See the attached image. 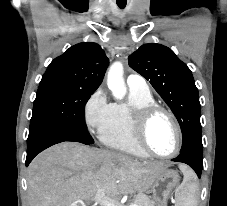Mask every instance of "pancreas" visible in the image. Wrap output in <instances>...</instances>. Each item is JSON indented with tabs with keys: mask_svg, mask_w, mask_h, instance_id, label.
<instances>
[{
	"mask_svg": "<svg viewBox=\"0 0 227 206\" xmlns=\"http://www.w3.org/2000/svg\"><path fill=\"white\" fill-rule=\"evenodd\" d=\"M134 204L137 206H155L154 201L143 193H138L135 197Z\"/></svg>",
	"mask_w": 227,
	"mask_h": 206,
	"instance_id": "obj_1",
	"label": "pancreas"
}]
</instances>
